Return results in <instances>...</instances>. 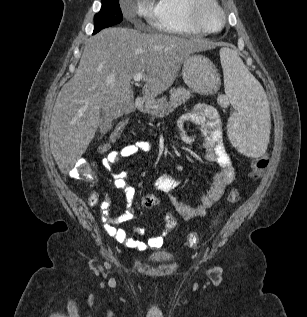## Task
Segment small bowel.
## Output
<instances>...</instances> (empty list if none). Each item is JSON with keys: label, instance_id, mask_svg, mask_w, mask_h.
<instances>
[{"label": "small bowel", "instance_id": "1", "mask_svg": "<svg viewBox=\"0 0 307 317\" xmlns=\"http://www.w3.org/2000/svg\"><path fill=\"white\" fill-rule=\"evenodd\" d=\"M187 123L200 126L201 135L205 138L203 144L206 150L205 157L208 161L217 163L220 170L215 174L209 189L201 196V201L196 206L185 204L174 194L179 186V181L172 175L163 173L155 179L153 189L167 194L177 213L185 220L205 216L207 210L221 198L226 187L235 180L236 176L235 168L223 143L222 124L217 109L213 106L200 103L195 106L193 111L185 113L179 118L177 127L180 140L185 144H191L194 142V138L184 130ZM154 149L155 145L150 142L136 141L125 145L121 149L113 150L101 160L103 168L111 173L114 178V186L124 190L126 196L125 212L115 217L110 215L111 201L108 196H105L100 205V218L104 229L119 243L141 251L148 248H160L166 232L150 238L147 242H142L130 237L123 229L118 227L120 223L127 222L133 218L131 206L135 190L129 183L131 176L126 171L115 173L113 172V168L124 158L140 153H150ZM91 200L92 202H96L97 196L93 195Z\"/></svg>", "mask_w": 307, "mask_h": 317}]
</instances>
